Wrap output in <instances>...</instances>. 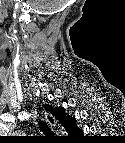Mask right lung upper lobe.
<instances>
[{
	"instance_id": "cb5924a9",
	"label": "right lung upper lobe",
	"mask_w": 125,
	"mask_h": 143,
	"mask_svg": "<svg viewBox=\"0 0 125 143\" xmlns=\"http://www.w3.org/2000/svg\"><path fill=\"white\" fill-rule=\"evenodd\" d=\"M44 108L49 111L55 118H57L62 126L67 131L68 135L73 136L77 135L80 130L76 127L75 119L70 118L69 116L65 115V110L63 108H53L50 105H44Z\"/></svg>"
}]
</instances>
